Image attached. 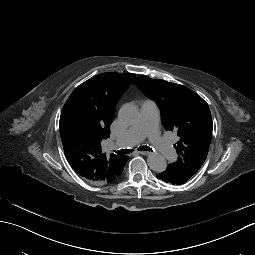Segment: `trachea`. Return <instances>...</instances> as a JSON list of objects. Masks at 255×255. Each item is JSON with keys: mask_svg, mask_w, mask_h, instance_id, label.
Returning a JSON list of instances; mask_svg holds the SVG:
<instances>
[{"mask_svg": "<svg viewBox=\"0 0 255 255\" xmlns=\"http://www.w3.org/2000/svg\"><path fill=\"white\" fill-rule=\"evenodd\" d=\"M137 150H139V151H152V149L149 146H141V147H138ZM133 151H134L133 149H122V150L115 151V153L118 154V155H125V154H129Z\"/></svg>", "mask_w": 255, "mask_h": 255, "instance_id": "trachea-1", "label": "trachea"}]
</instances>
